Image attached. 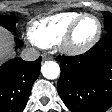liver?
<instances>
[{
    "label": "liver",
    "instance_id": "6515ba94",
    "mask_svg": "<svg viewBox=\"0 0 112 112\" xmlns=\"http://www.w3.org/2000/svg\"><path fill=\"white\" fill-rule=\"evenodd\" d=\"M13 53L11 35L5 28L0 27V63Z\"/></svg>",
    "mask_w": 112,
    "mask_h": 112
}]
</instances>
